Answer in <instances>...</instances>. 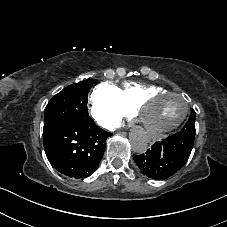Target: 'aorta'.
<instances>
[{"label":"aorta","instance_id":"obj_1","mask_svg":"<svg viewBox=\"0 0 227 227\" xmlns=\"http://www.w3.org/2000/svg\"><path fill=\"white\" fill-rule=\"evenodd\" d=\"M131 146L135 153L137 154L145 153L148 147L146 137L142 134L133 136L131 139Z\"/></svg>","mask_w":227,"mask_h":227}]
</instances>
